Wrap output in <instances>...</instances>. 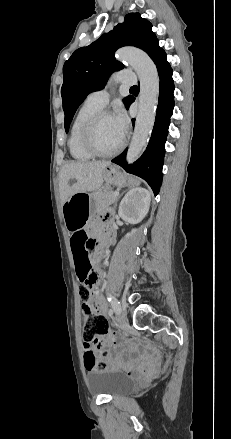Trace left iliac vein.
Listing matches in <instances>:
<instances>
[{"label":"left iliac vein","instance_id":"4c4485c4","mask_svg":"<svg viewBox=\"0 0 231 439\" xmlns=\"http://www.w3.org/2000/svg\"><path fill=\"white\" fill-rule=\"evenodd\" d=\"M117 320L122 327H126L128 325L127 319V311L124 306H119L116 310Z\"/></svg>","mask_w":231,"mask_h":439}]
</instances>
